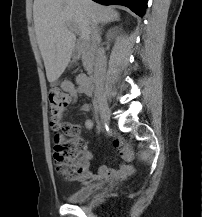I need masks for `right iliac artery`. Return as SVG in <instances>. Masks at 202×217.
<instances>
[{
	"mask_svg": "<svg viewBox=\"0 0 202 217\" xmlns=\"http://www.w3.org/2000/svg\"><path fill=\"white\" fill-rule=\"evenodd\" d=\"M94 108H95L96 114L98 115L100 113V110H99V106L96 100H94Z\"/></svg>",
	"mask_w": 202,
	"mask_h": 217,
	"instance_id": "1",
	"label": "right iliac artery"
}]
</instances>
